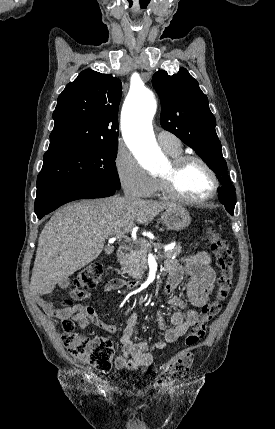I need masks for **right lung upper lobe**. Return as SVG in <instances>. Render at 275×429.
I'll list each match as a JSON object with an SVG mask.
<instances>
[{"mask_svg":"<svg viewBox=\"0 0 275 429\" xmlns=\"http://www.w3.org/2000/svg\"><path fill=\"white\" fill-rule=\"evenodd\" d=\"M118 78L91 69L82 71L59 95L49 150L70 145L118 143Z\"/></svg>","mask_w":275,"mask_h":429,"instance_id":"1","label":"right lung upper lobe"}]
</instances>
